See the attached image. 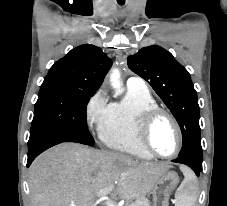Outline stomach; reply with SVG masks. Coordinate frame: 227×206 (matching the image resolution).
<instances>
[{
    "label": "stomach",
    "mask_w": 227,
    "mask_h": 206,
    "mask_svg": "<svg viewBox=\"0 0 227 206\" xmlns=\"http://www.w3.org/2000/svg\"><path fill=\"white\" fill-rule=\"evenodd\" d=\"M179 183L177 173L167 171L161 175L152 188L154 206H168L171 193Z\"/></svg>",
    "instance_id": "1"
}]
</instances>
